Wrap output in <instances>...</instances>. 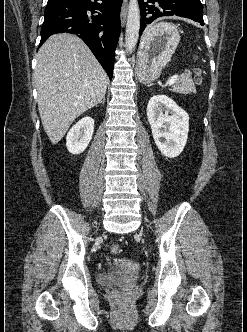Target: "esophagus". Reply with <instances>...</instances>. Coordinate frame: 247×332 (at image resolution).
Listing matches in <instances>:
<instances>
[{
    "label": "esophagus",
    "instance_id": "esophagus-1",
    "mask_svg": "<svg viewBox=\"0 0 247 332\" xmlns=\"http://www.w3.org/2000/svg\"><path fill=\"white\" fill-rule=\"evenodd\" d=\"M127 10H128V0H123V4L121 7V13H120V22H121L122 26L125 24V21H126Z\"/></svg>",
    "mask_w": 247,
    "mask_h": 332
}]
</instances>
